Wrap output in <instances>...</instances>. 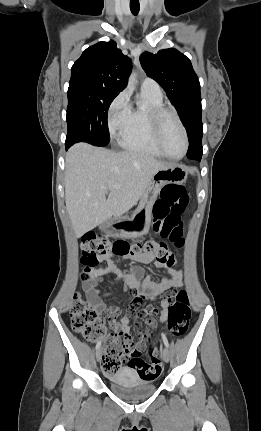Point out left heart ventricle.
<instances>
[{
	"label": "left heart ventricle",
	"instance_id": "b2bd125f",
	"mask_svg": "<svg viewBox=\"0 0 261 431\" xmlns=\"http://www.w3.org/2000/svg\"><path fill=\"white\" fill-rule=\"evenodd\" d=\"M162 144L166 152L172 157L182 155L185 147L182 132L172 116L166 117L162 127Z\"/></svg>",
	"mask_w": 261,
	"mask_h": 431
}]
</instances>
